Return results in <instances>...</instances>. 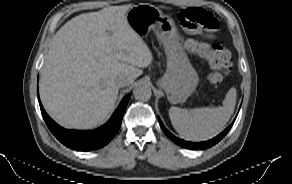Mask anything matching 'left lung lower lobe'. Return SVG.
<instances>
[{"instance_id": "1", "label": "left lung lower lobe", "mask_w": 292, "mask_h": 184, "mask_svg": "<svg viewBox=\"0 0 292 184\" xmlns=\"http://www.w3.org/2000/svg\"><path fill=\"white\" fill-rule=\"evenodd\" d=\"M160 125L163 129V131L166 133V135L172 140L174 141L176 144L184 147V148H188V149H193V150H201V149H206L209 148L213 145H215L216 143H218L225 135L226 133L230 130V128L232 127V124L227 127L222 133H220L217 137L209 140V141H205V142H201V143H192V142H188V141H184L182 139H179L177 137H175L174 135H172L162 124L161 120L159 119Z\"/></svg>"}]
</instances>
